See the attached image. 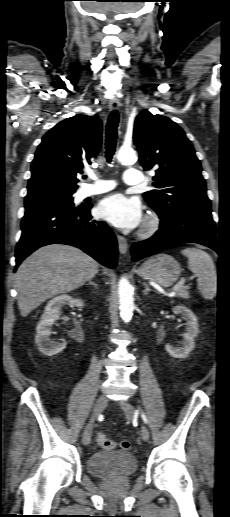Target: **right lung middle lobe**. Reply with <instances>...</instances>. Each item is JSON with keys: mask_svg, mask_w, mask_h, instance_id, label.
Segmentation results:
<instances>
[{"mask_svg": "<svg viewBox=\"0 0 230 517\" xmlns=\"http://www.w3.org/2000/svg\"><path fill=\"white\" fill-rule=\"evenodd\" d=\"M44 205L75 208L74 203H73L72 194L52 196V197H48V198H44V199H40V200H36V201L25 202V207L44 206ZM79 207H81V206H79Z\"/></svg>", "mask_w": 230, "mask_h": 517, "instance_id": "1", "label": "right lung middle lobe"}]
</instances>
